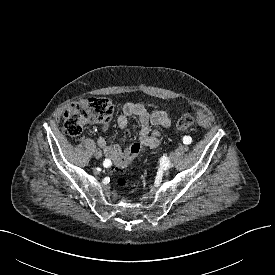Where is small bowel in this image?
Returning a JSON list of instances; mask_svg holds the SVG:
<instances>
[{"label":"small bowel","mask_w":275,"mask_h":275,"mask_svg":"<svg viewBox=\"0 0 275 275\" xmlns=\"http://www.w3.org/2000/svg\"><path fill=\"white\" fill-rule=\"evenodd\" d=\"M132 116L137 117L140 122L138 144L141 147L157 148L162 142L163 132L171 125L169 115L164 111L149 112L142 104L129 102L122 107L117 118L118 127L124 129ZM98 145L107 159L112 161L128 157L133 146L124 150L119 145L108 144L104 137H99Z\"/></svg>","instance_id":"obj_1"}]
</instances>
